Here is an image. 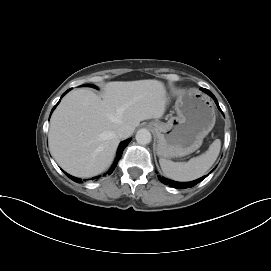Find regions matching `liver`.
I'll list each match as a JSON object with an SVG mask.
<instances>
[{
    "label": "liver",
    "mask_w": 271,
    "mask_h": 271,
    "mask_svg": "<svg viewBox=\"0 0 271 271\" xmlns=\"http://www.w3.org/2000/svg\"><path fill=\"white\" fill-rule=\"evenodd\" d=\"M168 97L157 80L114 81L102 98L89 89L68 93L55 109L48 133L58 165L81 178L96 176L112 163L124 125L135 129L147 119L161 118Z\"/></svg>",
    "instance_id": "1"
}]
</instances>
